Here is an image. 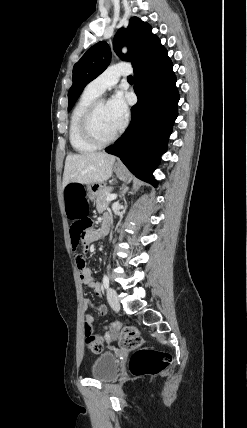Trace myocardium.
<instances>
[{"label":"myocardium","mask_w":247,"mask_h":428,"mask_svg":"<svg viewBox=\"0 0 247 428\" xmlns=\"http://www.w3.org/2000/svg\"><path fill=\"white\" fill-rule=\"evenodd\" d=\"M105 103L104 100L102 99H97L95 100L85 111V113L82 116L81 119V132L84 136V138L89 141L90 143L98 146V147H103V146H107L111 143H113L119 136L120 133V129H117L115 131V133L107 138V139H101L100 137H98V135L95 133L94 129H93V117L98 109V107L102 104Z\"/></svg>","instance_id":"myocardium-1"}]
</instances>
